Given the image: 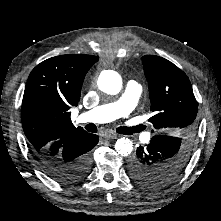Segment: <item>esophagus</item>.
I'll return each mask as SVG.
<instances>
[{
  "label": "esophagus",
  "mask_w": 221,
  "mask_h": 221,
  "mask_svg": "<svg viewBox=\"0 0 221 221\" xmlns=\"http://www.w3.org/2000/svg\"><path fill=\"white\" fill-rule=\"evenodd\" d=\"M117 137H118V135L114 134V133H108V134L104 135V138L107 140L116 139Z\"/></svg>",
  "instance_id": "obj_1"
}]
</instances>
